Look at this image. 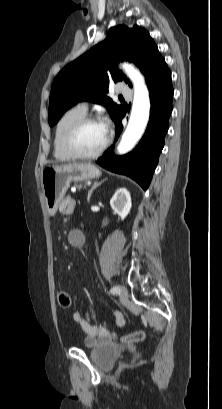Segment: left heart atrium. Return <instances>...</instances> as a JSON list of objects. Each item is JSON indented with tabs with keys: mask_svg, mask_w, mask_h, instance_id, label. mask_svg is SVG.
Wrapping results in <instances>:
<instances>
[{
	"mask_svg": "<svg viewBox=\"0 0 222 409\" xmlns=\"http://www.w3.org/2000/svg\"><path fill=\"white\" fill-rule=\"evenodd\" d=\"M102 124H103V127H104L106 133L108 134V131H109V123H108V121L105 120V121L102 122Z\"/></svg>",
	"mask_w": 222,
	"mask_h": 409,
	"instance_id": "obj_1",
	"label": "left heart atrium"
}]
</instances>
